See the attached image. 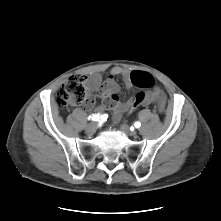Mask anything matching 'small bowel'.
<instances>
[{"mask_svg": "<svg viewBox=\"0 0 221 221\" xmlns=\"http://www.w3.org/2000/svg\"><path fill=\"white\" fill-rule=\"evenodd\" d=\"M134 72L145 73L143 71H129L122 67H114L111 70L110 78L102 83V78L99 74H91L86 77V84L89 90L97 92L104 102L98 106V110L109 109L113 111V120L118 121L125 113L133 112L140 105L155 104L160 112H163L166 106V96L159 87H154L145 95L143 102L139 105L135 104V98L121 102L118 98L119 87L116 84L114 77L121 76L127 88L135 85L132 82V74ZM150 75V74H149Z\"/></svg>", "mask_w": 221, "mask_h": 221, "instance_id": "c3829d8e", "label": "small bowel"}]
</instances>
